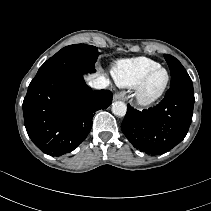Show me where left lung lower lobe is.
I'll return each instance as SVG.
<instances>
[{
  "instance_id": "left-lung-lower-lobe-1",
  "label": "left lung lower lobe",
  "mask_w": 211,
  "mask_h": 211,
  "mask_svg": "<svg viewBox=\"0 0 211 211\" xmlns=\"http://www.w3.org/2000/svg\"><path fill=\"white\" fill-rule=\"evenodd\" d=\"M194 102L193 88L175 87L168 89L164 99L148 110L138 111L127 105L122 132L140 151L163 154L185 138Z\"/></svg>"
}]
</instances>
